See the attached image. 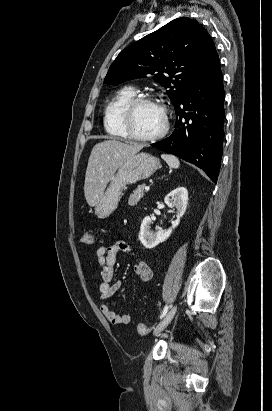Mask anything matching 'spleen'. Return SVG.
I'll return each mask as SVG.
<instances>
[{
  "label": "spleen",
  "mask_w": 272,
  "mask_h": 411,
  "mask_svg": "<svg viewBox=\"0 0 272 411\" xmlns=\"http://www.w3.org/2000/svg\"><path fill=\"white\" fill-rule=\"evenodd\" d=\"M161 158L166 161V163L171 168H178L180 166V162L177 157L170 155V154H162Z\"/></svg>",
  "instance_id": "spleen-1"
}]
</instances>
